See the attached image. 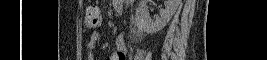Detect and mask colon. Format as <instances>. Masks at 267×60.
Segmentation results:
<instances>
[{
  "label": "colon",
  "instance_id": "obj_1",
  "mask_svg": "<svg viewBox=\"0 0 267 60\" xmlns=\"http://www.w3.org/2000/svg\"><path fill=\"white\" fill-rule=\"evenodd\" d=\"M84 22L88 29H96L101 25V14L98 8L89 7L84 16Z\"/></svg>",
  "mask_w": 267,
  "mask_h": 60
}]
</instances>
